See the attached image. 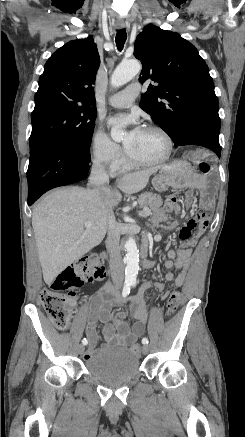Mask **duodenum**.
<instances>
[{
  "mask_svg": "<svg viewBox=\"0 0 245 437\" xmlns=\"http://www.w3.org/2000/svg\"><path fill=\"white\" fill-rule=\"evenodd\" d=\"M141 257L143 268H148L152 265V261L148 258V243L144 242L141 247Z\"/></svg>",
  "mask_w": 245,
  "mask_h": 437,
  "instance_id": "410a0bca",
  "label": "duodenum"
}]
</instances>
